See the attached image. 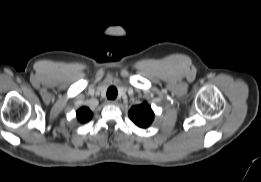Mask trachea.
I'll use <instances>...</instances> for the list:
<instances>
[{"label":"trachea","instance_id":"obj_1","mask_svg":"<svg viewBox=\"0 0 261 182\" xmlns=\"http://www.w3.org/2000/svg\"><path fill=\"white\" fill-rule=\"evenodd\" d=\"M117 94H118V91H117L116 87L111 86L108 88V90H107L108 99H111V100L115 99L117 97Z\"/></svg>","mask_w":261,"mask_h":182}]
</instances>
